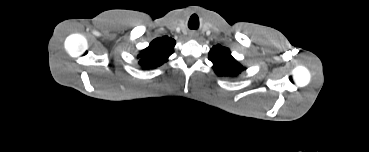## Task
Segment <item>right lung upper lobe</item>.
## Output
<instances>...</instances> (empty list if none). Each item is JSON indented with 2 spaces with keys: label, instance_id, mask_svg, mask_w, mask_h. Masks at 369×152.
I'll use <instances>...</instances> for the list:
<instances>
[{
  "label": "right lung upper lobe",
  "instance_id": "1",
  "mask_svg": "<svg viewBox=\"0 0 369 152\" xmlns=\"http://www.w3.org/2000/svg\"><path fill=\"white\" fill-rule=\"evenodd\" d=\"M175 41L167 36L153 40L150 45L138 55L139 64L144 69L156 68L168 60L173 53Z\"/></svg>",
  "mask_w": 369,
  "mask_h": 152
}]
</instances>
